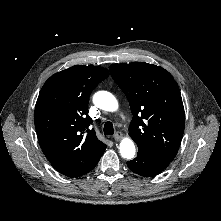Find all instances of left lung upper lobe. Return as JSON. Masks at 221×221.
Listing matches in <instances>:
<instances>
[{"mask_svg":"<svg viewBox=\"0 0 221 221\" xmlns=\"http://www.w3.org/2000/svg\"><path fill=\"white\" fill-rule=\"evenodd\" d=\"M109 71L129 101L133 114L129 134L138 153L171 162L185 126L180 90L172 75L145 62L112 64Z\"/></svg>","mask_w":221,"mask_h":221,"instance_id":"5c2ea615","label":"left lung upper lobe"}]
</instances>
